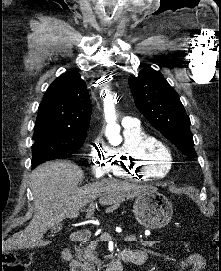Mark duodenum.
I'll use <instances>...</instances> for the list:
<instances>
[{
  "instance_id": "1",
  "label": "duodenum",
  "mask_w": 221,
  "mask_h": 271,
  "mask_svg": "<svg viewBox=\"0 0 221 271\" xmlns=\"http://www.w3.org/2000/svg\"><path fill=\"white\" fill-rule=\"evenodd\" d=\"M90 233L86 230H79L73 233V245L66 247L62 252V258L66 261L71 271H88V268L76 257L75 251L78 245L88 241ZM146 261L145 255L134 254L128 249L122 250L116 259L110 263L104 271H123V262L141 265Z\"/></svg>"
}]
</instances>
